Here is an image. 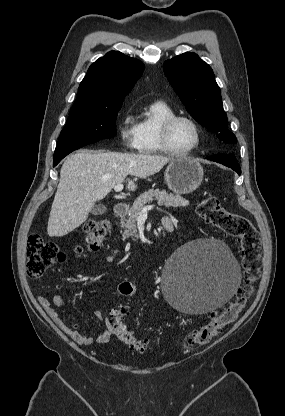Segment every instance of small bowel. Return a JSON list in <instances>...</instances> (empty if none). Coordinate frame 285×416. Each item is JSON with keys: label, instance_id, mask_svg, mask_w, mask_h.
<instances>
[{"label": "small bowel", "instance_id": "small-bowel-1", "mask_svg": "<svg viewBox=\"0 0 285 416\" xmlns=\"http://www.w3.org/2000/svg\"><path fill=\"white\" fill-rule=\"evenodd\" d=\"M166 222H170L173 225V219L169 216L163 218V223ZM112 258L113 256H110L109 260H112ZM37 300L44 309V311L47 313V315L56 324V326L59 327L64 333H66L73 341H75L79 345L89 346L95 343L103 344L108 342L114 335V330L110 321V316L104 311L99 310L94 313L96 318L103 322V331L98 335L91 336L81 332L77 323L72 325L68 324L67 321L53 307H63L65 305V299L62 295H54L51 301H49L47 298L43 296H38Z\"/></svg>", "mask_w": 285, "mask_h": 416}]
</instances>
